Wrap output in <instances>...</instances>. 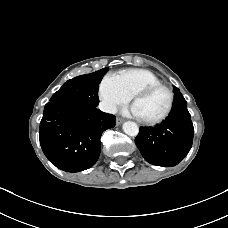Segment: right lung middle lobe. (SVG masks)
<instances>
[{
    "instance_id": "1",
    "label": "right lung middle lobe",
    "mask_w": 228,
    "mask_h": 228,
    "mask_svg": "<svg viewBox=\"0 0 228 228\" xmlns=\"http://www.w3.org/2000/svg\"><path fill=\"white\" fill-rule=\"evenodd\" d=\"M107 71L106 67L94 73L68 80L53 94L49 102L64 103L83 109L97 107L99 84Z\"/></svg>"
}]
</instances>
